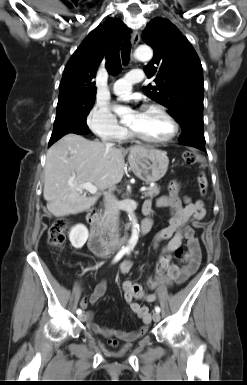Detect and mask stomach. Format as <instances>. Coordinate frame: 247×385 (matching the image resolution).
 I'll list each match as a JSON object with an SVG mask.
<instances>
[{"mask_svg": "<svg viewBox=\"0 0 247 385\" xmlns=\"http://www.w3.org/2000/svg\"><path fill=\"white\" fill-rule=\"evenodd\" d=\"M133 173L145 183L160 180L167 172V153L151 147L135 146L128 156Z\"/></svg>", "mask_w": 247, "mask_h": 385, "instance_id": "1", "label": "stomach"}]
</instances>
